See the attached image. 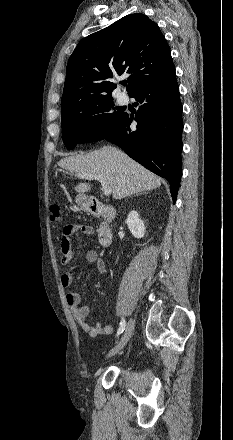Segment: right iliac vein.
I'll list each match as a JSON object with an SVG mask.
<instances>
[{
  "label": "right iliac vein",
  "instance_id": "1",
  "mask_svg": "<svg viewBox=\"0 0 233 440\" xmlns=\"http://www.w3.org/2000/svg\"><path fill=\"white\" fill-rule=\"evenodd\" d=\"M134 326H135V323H134L133 319H130L126 328H125L124 334L122 335L121 339L118 341L116 346L108 353L107 357H111V356L119 353L124 348V346L127 344V342L129 341V339L131 338V336L133 334Z\"/></svg>",
  "mask_w": 233,
  "mask_h": 440
}]
</instances>
